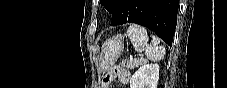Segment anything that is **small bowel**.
I'll list each match as a JSON object with an SVG mask.
<instances>
[{
    "label": "small bowel",
    "instance_id": "c3829d8e",
    "mask_svg": "<svg viewBox=\"0 0 227 88\" xmlns=\"http://www.w3.org/2000/svg\"><path fill=\"white\" fill-rule=\"evenodd\" d=\"M116 77L121 83H127L130 79V72L120 66H116L102 80V85L105 88H109Z\"/></svg>",
    "mask_w": 227,
    "mask_h": 88
}]
</instances>
